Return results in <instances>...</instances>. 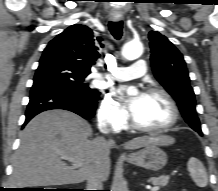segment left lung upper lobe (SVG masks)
<instances>
[{
    "label": "left lung upper lobe",
    "mask_w": 218,
    "mask_h": 191,
    "mask_svg": "<svg viewBox=\"0 0 218 191\" xmlns=\"http://www.w3.org/2000/svg\"><path fill=\"white\" fill-rule=\"evenodd\" d=\"M151 65L155 78L177 101L185 121L202 135L196 114L195 94L182 54L167 37L158 31L149 32Z\"/></svg>",
    "instance_id": "obj_1"
}]
</instances>
